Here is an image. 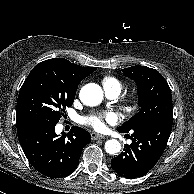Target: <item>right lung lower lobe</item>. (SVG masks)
I'll list each match as a JSON object with an SVG mask.
<instances>
[{"instance_id": "right-lung-lower-lobe-1", "label": "right lung lower lobe", "mask_w": 194, "mask_h": 194, "mask_svg": "<svg viewBox=\"0 0 194 194\" xmlns=\"http://www.w3.org/2000/svg\"><path fill=\"white\" fill-rule=\"evenodd\" d=\"M55 125L25 122L17 125V133L28 161L38 172L50 178H63L77 168L82 149L91 138L78 126L58 137Z\"/></svg>"}]
</instances>
